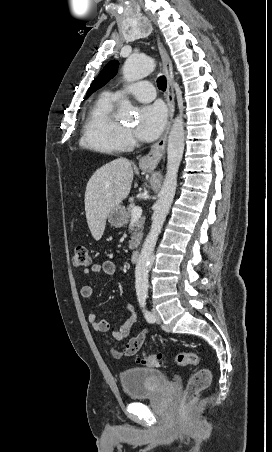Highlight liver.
Here are the masks:
<instances>
[{"label":"liver","mask_w":272,"mask_h":452,"mask_svg":"<svg viewBox=\"0 0 272 452\" xmlns=\"http://www.w3.org/2000/svg\"><path fill=\"white\" fill-rule=\"evenodd\" d=\"M132 181V163L126 158L105 164L89 179L84 202L87 223L95 240L101 239L109 212L128 197Z\"/></svg>","instance_id":"liver-1"}]
</instances>
